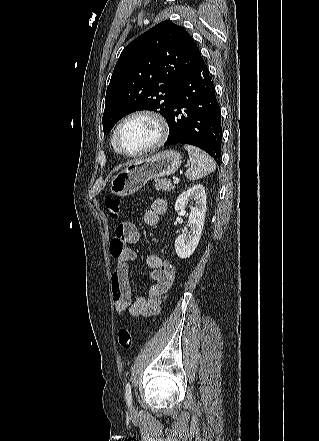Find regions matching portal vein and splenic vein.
<instances>
[{
	"label": "portal vein and splenic vein",
	"instance_id": "portal-vein-and-splenic-vein-1",
	"mask_svg": "<svg viewBox=\"0 0 319 441\" xmlns=\"http://www.w3.org/2000/svg\"><path fill=\"white\" fill-rule=\"evenodd\" d=\"M173 181H174L175 184H178V183H179V178L174 177V178H173Z\"/></svg>",
	"mask_w": 319,
	"mask_h": 441
}]
</instances>
